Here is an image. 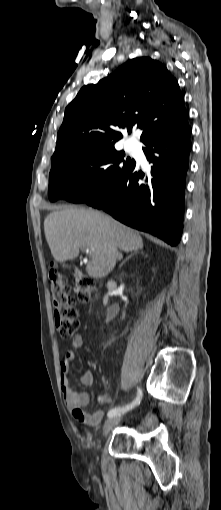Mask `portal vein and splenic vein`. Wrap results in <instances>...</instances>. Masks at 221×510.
I'll return each instance as SVG.
<instances>
[{
  "instance_id": "18ae733b",
  "label": "portal vein and splenic vein",
  "mask_w": 221,
  "mask_h": 510,
  "mask_svg": "<svg viewBox=\"0 0 221 510\" xmlns=\"http://www.w3.org/2000/svg\"><path fill=\"white\" fill-rule=\"evenodd\" d=\"M88 250H89V249H88ZM90 250H91V251H94V248H91Z\"/></svg>"
}]
</instances>
